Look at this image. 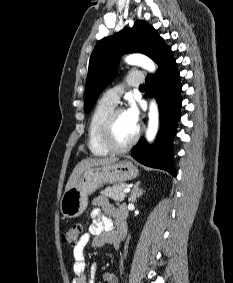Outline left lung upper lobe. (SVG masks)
I'll use <instances>...</instances> for the list:
<instances>
[{
    "label": "left lung upper lobe",
    "mask_w": 233,
    "mask_h": 283,
    "mask_svg": "<svg viewBox=\"0 0 233 283\" xmlns=\"http://www.w3.org/2000/svg\"><path fill=\"white\" fill-rule=\"evenodd\" d=\"M168 49L157 31L142 20H137L132 28H124L99 41L89 62L85 112L91 111L100 92L113 80L122 54L139 52L158 63Z\"/></svg>",
    "instance_id": "left-lung-upper-lobe-1"
}]
</instances>
